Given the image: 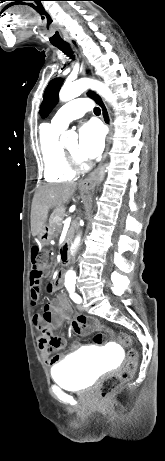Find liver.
<instances>
[{"mask_svg":"<svg viewBox=\"0 0 165 461\" xmlns=\"http://www.w3.org/2000/svg\"><path fill=\"white\" fill-rule=\"evenodd\" d=\"M76 187V182H70L47 184L38 189L33 197L31 207V233L33 236H37L42 231L49 210L55 207L60 208L68 203Z\"/></svg>","mask_w":165,"mask_h":461,"instance_id":"liver-1","label":"liver"}]
</instances>
